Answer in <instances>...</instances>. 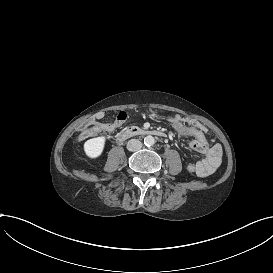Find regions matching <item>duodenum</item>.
Wrapping results in <instances>:
<instances>
[{
    "instance_id": "410a0bca",
    "label": "duodenum",
    "mask_w": 273,
    "mask_h": 273,
    "mask_svg": "<svg viewBox=\"0 0 273 273\" xmlns=\"http://www.w3.org/2000/svg\"><path fill=\"white\" fill-rule=\"evenodd\" d=\"M145 135H152L157 137H164L165 134L157 129H145L140 128L137 126H131L126 129H124L122 132L119 133L117 140L119 142H123L129 138L135 137V136H145Z\"/></svg>"
}]
</instances>
